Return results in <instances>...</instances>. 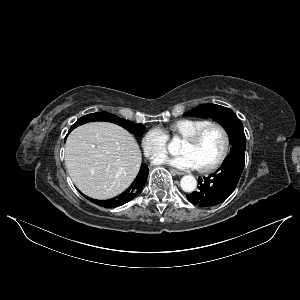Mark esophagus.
Returning <instances> with one entry per match:
<instances>
[{"label": "esophagus", "mask_w": 300, "mask_h": 300, "mask_svg": "<svg viewBox=\"0 0 300 300\" xmlns=\"http://www.w3.org/2000/svg\"><path fill=\"white\" fill-rule=\"evenodd\" d=\"M171 173L176 174V175H183L184 173L182 171H179L177 169H170Z\"/></svg>", "instance_id": "34e87169"}]
</instances>
